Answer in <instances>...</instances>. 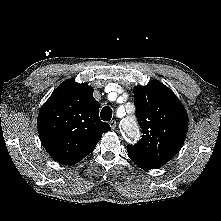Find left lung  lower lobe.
<instances>
[{"label":"left lung lower lobe","instance_id":"left-lung-lower-lobe-1","mask_svg":"<svg viewBox=\"0 0 221 221\" xmlns=\"http://www.w3.org/2000/svg\"><path fill=\"white\" fill-rule=\"evenodd\" d=\"M132 161H133L137 166H139L140 168L145 169V170L158 168V167L152 166V165L147 164V163L137 162V161H134V160H132Z\"/></svg>","mask_w":221,"mask_h":221}]
</instances>
